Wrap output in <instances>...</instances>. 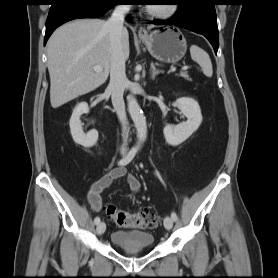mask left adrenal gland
Wrapping results in <instances>:
<instances>
[{
  "mask_svg": "<svg viewBox=\"0 0 278 278\" xmlns=\"http://www.w3.org/2000/svg\"><path fill=\"white\" fill-rule=\"evenodd\" d=\"M160 73H163V72L160 70H157L154 63L152 62L151 63V78L154 80L155 77Z\"/></svg>",
  "mask_w": 278,
  "mask_h": 278,
  "instance_id": "a2214340",
  "label": "left adrenal gland"
}]
</instances>
